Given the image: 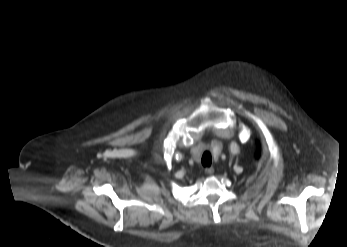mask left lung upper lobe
Masks as SVG:
<instances>
[{
	"label": "left lung upper lobe",
	"instance_id": "5c2ea615",
	"mask_svg": "<svg viewBox=\"0 0 347 247\" xmlns=\"http://www.w3.org/2000/svg\"><path fill=\"white\" fill-rule=\"evenodd\" d=\"M257 157H259V152H258V154H257Z\"/></svg>",
	"mask_w": 347,
	"mask_h": 247
}]
</instances>
